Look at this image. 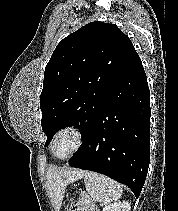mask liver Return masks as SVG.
Masks as SVG:
<instances>
[{"mask_svg": "<svg viewBox=\"0 0 178 211\" xmlns=\"http://www.w3.org/2000/svg\"><path fill=\"white\" fill-rule=\"evenodd\" d=\"M82 170L53 167L47 171V187L56 211H59L68 184L81 179Z\"/></svg>", "mask_w": 178, "mask_h": 211, "instance_id": "liver-1", "label": "liver"}]
</instances>
